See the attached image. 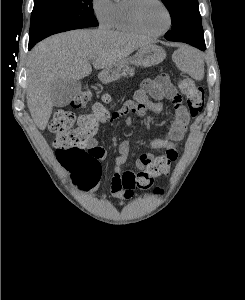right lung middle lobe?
<instances>
[{
  "label": "right lung middle lobe",
  "instance_id": "obj_1",
  "mask_svg": "<svg viewBox=\"0 0 245 300\" xmlns=\"http://www.w3.org/2000/svg\"><path fill=\"white\" fill-rule=\"evenodd\" d=\"M98 26L92 0H34L29 43L59 32Z\"/></svg>",
  "mask_w": 245,
  "mask_h": 300
}]
</instances>
